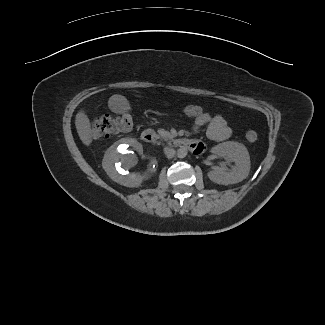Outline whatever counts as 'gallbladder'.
Returning <instances> with one entry per match:
<instances>
[{
    "label": "gallbladder",
    "mask_w": 325,
    "mask_h": 325,
    "mask_svg": "<svg viewBox=\"0 0 325 325\" xmlns=\"http://www.w3.org/2000/svg\"><path fill=\"white\" fill-rule=\"evenodd\" d=\"M125 110H123L122 108H120V107H117L116 109H115V112L116 113H123Z\"/></svg>",
    "instance_id": "bac80fb5"
}]
</instances>
